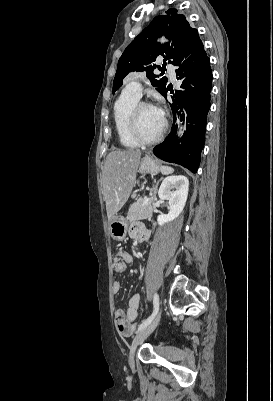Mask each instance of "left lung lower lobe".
I'll return each instance as SVG.
<instances>
[{
  "label": "left lung lower lobe",
  "mask_w": 273,
  "mask_h": 401,
  "mask_svg": "<svg viewBox=\"0 0 273 401\" xmlns=\"http://www.w3.org/2000/svg\"><path fill=\"white\" fill-rule=\"evenodd\" d=\"M177 66V79L182 80V90L176 91L170 104L174 126L163 143L153 149L154 154L167 162L177 163L196 173L205 143V127L210 109L212 71L210 59L201 40L182 53L173 63ZM168 87L162 94L167 96ZM186 112V132L176 139L178 118ZM184 117V114H183ZM182 120V119H181ZM184 120V119H183Z\"/></svg>",
  "instance_id": "left-lung-lower-lobe-1"
}]
</instances>
